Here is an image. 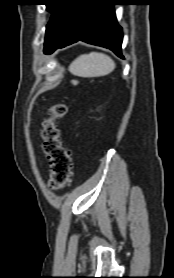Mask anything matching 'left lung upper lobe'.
<instances>
[{
    "label": "left lung upper lobe",
    "mask_w": 174,
    "mask_h": 278,
    "mask_svg": "<svg viewBox=\"0 0 174 278\" xmlns=\"http://www.w3.org/2000/svg\"><path fill=\"white\" fill-rule=\"evenodd\" d=\"M78 0H47L46 10L52 12L46 26L44 52L55 46L65 35Z\"/></svg>",
    "instance_id": "1"
}]
</instances>
